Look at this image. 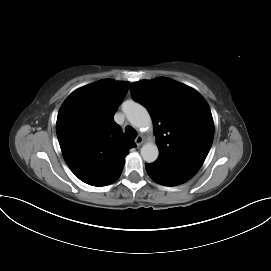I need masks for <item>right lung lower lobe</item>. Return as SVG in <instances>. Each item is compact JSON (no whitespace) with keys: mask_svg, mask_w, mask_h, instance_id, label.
<instances>
[{"mask_svg":"<svg viewBox=\"0 0 271 271\" xmlns=\"http://www.w3.org/2000/svg\"><path fill=\"white\" fill-rule=\"evenodd\" d=\"M121 172H122V170H121L120 173H119L112 181H110L108 184H111V183H113L114 181H116V180L118 179V177L120 176ZM108 184H106V185H108ZM103 186H104V185H103Z\"/></svg>","mask_w":271,"mask_h":271,"instance_id":"98d812e1","label":"right lung lower lobe"}]
</instances>
